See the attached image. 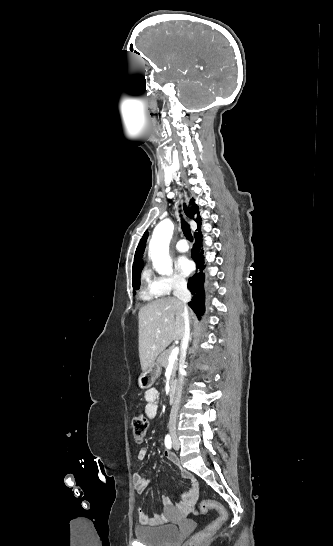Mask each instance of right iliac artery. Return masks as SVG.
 I'll list each match as a JSON object with an SVG mask.
<instances>
[{
  "label": "right iliac artery",
  "mask_w": 333,
  "mask_h": 546,
  "mask_svg": "<svg viewBox=\"0 0 333 546\" xmlns=\"http://www.w3.org/2000/svg\"><path fill=\"white\" fill-rule=\"evenodd\" d=\"M165 446H166L168 449H171V447H172V440H171L170 435H166V436H165Z\"/></svg>",
  "instance_id": "1"
}]
</instances>
